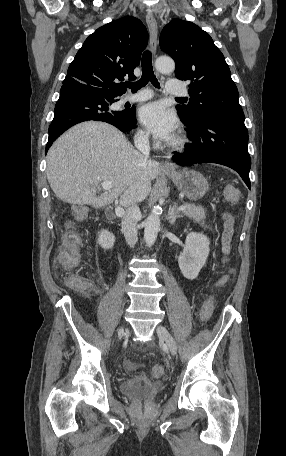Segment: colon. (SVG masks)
Returning a JSON list of instances; mask_svg holds the SVG:
<instances>
[{"instance_id": "obj_1", "label": "colon", "mask_w": 286, "mask_h": 456, "mask_svg": "<svg viewBox=\"0 0 286 456\" xmlns=\"http://www.w3.org/2000/svg\"><path fill=\"white\" fill-rule=\"evenodd\" d=\"M223 191L228 201L235 202L238 199L239 193L236 187L227 185L223 188ZM79 246V237L73 230V227L69 225L66 228L65 240L58 253L57 262L59 267L64 271L63 281L68 287L78 291H87L92 287L91 280L70 272L75 269L80 262ZM230 272L234 273L235 270L231 269ZM213 308V297H208L204 301L200 311V320L202 322H206L211 317ZM126 368L133 371L136 366L134 363L127 361ZM151 373L153 378L159 379L164 375V368L162 365L156 364L152 367Z\"/></svg>"}]
</instances>
